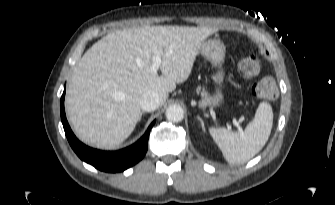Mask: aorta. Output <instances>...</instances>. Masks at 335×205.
I'll use <instances>...</instances> for the list:
<instances>
[{"mask_svg":"<svg viewBox=\"0 0 335 205\" xmlns=\"http://www.w3.org/2000/svg\"><path fill=\"white\" fill-rule=\"evenodd\" d=\"M166 118L171 122H180L183 120L184 111L178 105H171L166 110Z\"/></svg>","mask_w":335,"mask_h":205,"instance_id":"1","label":"aorta"}]
</instances>
